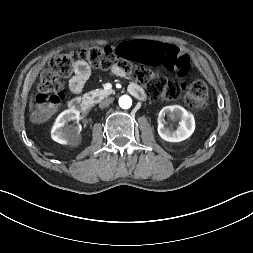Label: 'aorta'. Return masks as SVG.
Segmentation results:
<instances>
[{"instance_id":"762f6f07","label":"aorta","mask_w":253,"mask_h":253,"mask_svg":"<svg viewBox=\"0 0 253 253\" xmlns=\"http://www.w3.org/2000/svg\"><path fill=\"white\" fill-rule=\"evenodd\" d=\"M132 105V99L128 95H123L119 98V106L122 109H128Z\"/></svg>"}]
</instances>
